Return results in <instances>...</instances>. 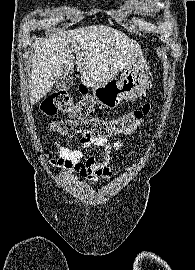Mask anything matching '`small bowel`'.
I'll return each instance as SVG.
<instances>
[{
	"label": "small bowel",
	"instance_id": "obj_1",
	"mask_svg": "<svg viewBox=\"0 0 195 270\" xmlns=\"http://www.w3.org/2000/svg\"><path fill=\"white\" fill-rule=\"evenodd\" d=\"M144 123V118L137 119L117 134L122 136L132 135ZM79 141L81 146L86 149H90L92 146L105 147L106 154L103 162L97 163L94 155L89 156L83 161L84 155L82 150L70 149L57 142L56 147L61 158L59 164L67 170L77 172L83 179L90 182H96L101 177H109L112 174L109 167L110 155L113 151L119 150L124 145V142L122 140L112 142L109 136L98 137L94 135H83Z\"/></svg>",
	"mask_w": 195,
	"mask_h": 270
}]
</instances>
